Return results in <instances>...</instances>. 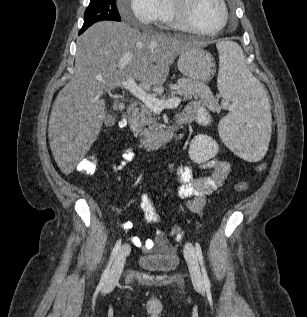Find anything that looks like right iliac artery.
Returning <instances> with one entry per match:
<instances>
[{"instance_id":"82829eb1","label":"right iliac artery","mask_w":307,"mask_h":317,"mask_svg":"<svg viewBox=\"0 0 307 317\" xmlns=\"http://www.w3.org/2000/svg\"><path fill=\"white\" fill-rule=\"evenodd\" d=\"M120 246H121V239H119V240L116 242V244H115V246H114V248H113V250H112L110 261H109V263H108L107 268L104 270V272H103V274H102V277H101V280H100V283H101V284H103V283L106 282L107 277H108V274H109L110 267H111V265H112V262H113V260H114V258H115V256H116V254H117V252H118Z\"/></svg>"}]
</instances>
